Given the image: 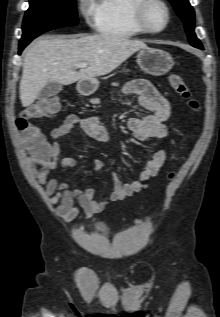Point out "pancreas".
Here are the masks:
<instances>
[{
	"mask_svg": "<svg viewBox=\"0 0 220 317\" xmlns=\"http://www.w3.org/2000/svg\"><path fill=\"white\" fill-rule=\"evenodd\" d=\"M115 86H119V84H118V83H116V84H115Z\"/></svg>",
	"mask_w": 220,
	"mask_h": 317,
	"instance_id": "1",
	"label": "pancreas"
}]
</instances>
